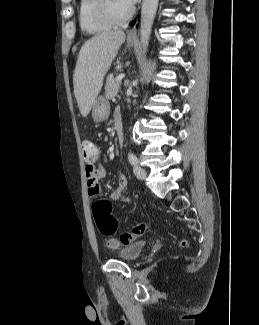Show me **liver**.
Instances as JSON below:
<instances>
[{"instance_id":"1","label":"liver","mask_w":259,"mask_h":325,"mask_svg":"<svg viewBox=\"0 0 259 325\" xmlns=\"http://www.w3.org/2000/svg\"><path fill=\"white\" fill-rule=\"evenodd\" d=\"M125 41L124 31H107L86 41L80 49L73 84L80 113L87 116L101 91L103 79Z\"/></svg>"}]
</instances>
